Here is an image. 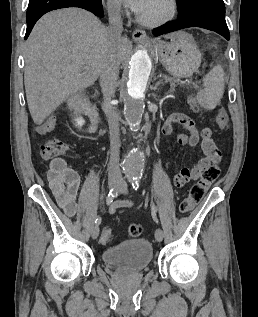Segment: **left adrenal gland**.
I'll use <instances>...</instances> for the list:
<instances>
[{"label": "left adrenal gland", "mask_w": 258, "mask_h": 317, "mask_svg": "<svg viewBox=\"0 0 258 317\" xmlns=\"http://www.w3.org/2000/svg\"><path fill=\"white\" fill-rule=\"evenodd\" d=\"M157 84H159V82H157ZM157 84H155L153 90H155V88H157ZM152 96H154V98H157V94H155V92H152ZM158 100V98H157Z\"/></svg>", "instance_id": "a2214340"}]
</instances>
